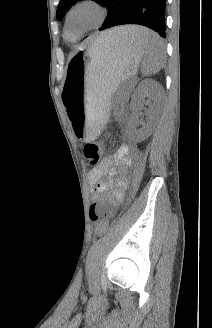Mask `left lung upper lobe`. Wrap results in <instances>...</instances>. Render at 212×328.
I'll return each instance as SVG.
<instances>
[{"mask_svg":"<svg viewBox=\"0 0 212 328\" xmlns=\"http://www.w3.org/2000/svg\"><path fill=\"white\" fill-rule=\"evenodd\" d=\"M78 0H60L57 12H56V17L57 20H61L62 17L65 15V13L71 8L73 4H75ZM98 2L101 5H105L106 0H94Z\"/></svg>","mask_w":212,"mask_h":328,"instance_id":"left-lung-upper-lobe-1","label":"left lung upper lobe"}]
</instances>
